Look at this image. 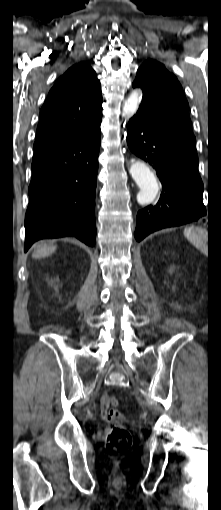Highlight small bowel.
<instances>
[{
  "instance_id": "1",
  "label": "small bowel",
  "mask_w": 221,
  "mask_h": 510,
  "mask_svg": "<svg viewBox=\"0 0 221 510\" xmlns=\"http://www.w3.org/2000/svg\"><path fill=\"white\" fill-rule=\"evenodd\" d=\"M110 399H111V397L108 394H104L99 401V411H100L102 417L106 420H107V415L111 410Z\"/></svg>"
}]
</instances>
